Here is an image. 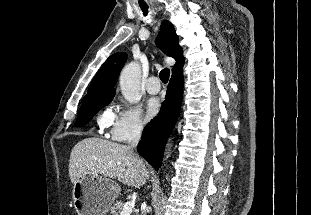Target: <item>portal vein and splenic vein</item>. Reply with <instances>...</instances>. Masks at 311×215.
I'll use <instances>...</instances> for the list:
<instances>
[{
	"mask_svg": "<svg viewBox=\"0 0 311 215\" xmlns=\"http://www.w3.org/2000/svg\"><path fill=\"white\" fill-rule=\"evenodd\" d=\"M135 207V200L126 202L120 215H130Z\"/></svg>",
	"mask_w": 311,
	"mask_h": 215,
	"instance_id": "18ae733b",
	"label": "portal vein and splenic vein"
}]
</instances>
